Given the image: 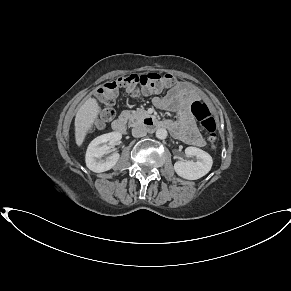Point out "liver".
<instances>
[{
  "label": "liver",
  "mask_w": 291,
  "mask_h": 291,
  "mask_svg": "<svg viewBox=\"0 0 291 291\" xmlns=\"http://www.w3.org/2000/svg\"><path fill=\"white\" fill-rule=\"evenodd\" d=\"M100 106L95 98H88L79 108L75 117V142L81 147L88 131L98 120Z\"/></svg>",
  "instance_id": "6515ba94"
}]
</instances>
